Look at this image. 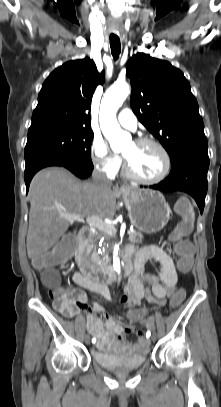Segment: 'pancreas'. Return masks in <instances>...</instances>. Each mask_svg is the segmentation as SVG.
I'll return each instance as SVG.
<instances>
[{
  "mask_svg": "<svg viewBox=\"0 0 221 407\" xmlns=\"http://www.w3.org/2000/svg\"><path fill=\"white\" fill-rule=\"evenodd\" d=\"M105 234L104 231H97V232H91L88 239H87V244L86 248L89 253L92 252V258L94 263L97 265H101L103 263V260L99 256V254L96 251V240L102 237ZM143 240V234L141 232L133 231L129 233V241L132 244H141Z\"/></svg>",
  "mask_w": 221,
  "mask_h": 407,
  "instance_id": "1",
  "label": "pancreas"
}]
</instances>
